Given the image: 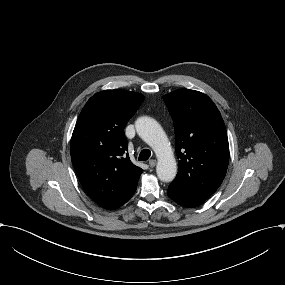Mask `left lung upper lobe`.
<instances>
[{
	"mask_svg": "<svg viewBox=\"0 0 285 285\" xmlns=\"http://www.w3.org/2000/svg\"><path fill=\"white\" fill-rule=\"evenodd\" d=\"M174 120L179 169L172 185L206 200L221 185L229 144L219 110L205 94L179 89L163 97Z\"/></svg>",
	"mask_w": 285,
	"mask_h": 285,
	"instance_id": "left-lung-upper-lobe-1",
	"label": "left lung upper lobe"
}]
</instances>
